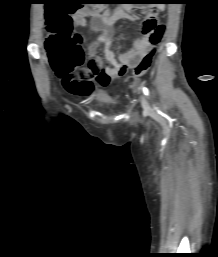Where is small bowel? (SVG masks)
<instances>
[{"label":"small bowel","instance_id":"obj_1","mask_svg":"<svg viewBox=\"0 0 218 257\" xmlns=\"http://www.w3.org/2000/svg\"><path fill=\"white\" fill-rule=\"evenodd\" d=\"M158 9L163 10V7L160 6ZM114 18H126L134 22L140 20L133 6L114 9ZM72 23L76 28L88 25L91 32H100L89 47V67L78 69L69 78L61 77L65 89L74 95H93L95 91L93 80L100 87L107 86L111 80L122 77L129 68H134L153 47L149 34L142 33L133 41L129 50L121 54L115 53L109 12L102 13L99 7H81L72 14ZM100 44L104 46L105 55L97 52Z\"/></svg>","mask_w":218,"mask_h":257}]
</instances>
